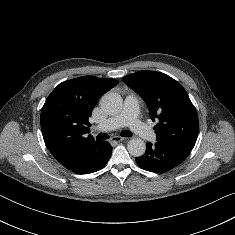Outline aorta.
<instances>
[{
	"mask_svg": "<svg viewBox=\"0 0 235 235\" xmlns=\"http://www.w3.org/2000/svg\"><path fill=\"white\" fill-rule=\"evenodd\" d=\"M102 109L110 114L116 115L121 112L123 99L115 92H108L101 98ZM129 153L134 157H141L146 151V144L140 138H132L127 145Z\"/></svg>",
	"mask_w": 235,
	"mask_h": 235,
	"instance_id": "1",
	"label": "aorta"
}]
</instances>
